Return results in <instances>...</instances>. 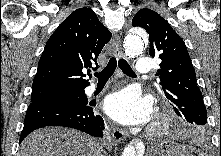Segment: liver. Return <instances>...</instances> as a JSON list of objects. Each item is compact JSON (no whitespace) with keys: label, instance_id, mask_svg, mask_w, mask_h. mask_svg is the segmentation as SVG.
Masks as SVG:
<instances>
[{"label":"liver","instance_id":"1","mask_svg":"<svg viewBox=\"0 0 221 156\" xmlns=\"http://www.w3.org/2000/svg\"><path fill=\"white\" fill-rule=\"evenodd\" d=\"M99 142L85 133L46 127L30 133L21 143L19 156H100Z\"/></svg>","mask_w":221,"mask_h":156}]
</instances>
